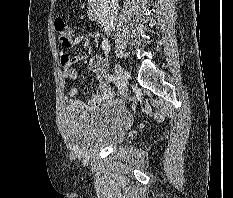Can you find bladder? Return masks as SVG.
Here are the masks:
<instances>
[{
	"label": "bladder",
	"mask_w": 233,
	"mask_h": 198,
	"mask_svg": "<svg viewBox=\"0 0 233 198\" xmlns=\"http://www.w3.org/2000/svg\"><path fill=\"white\" fill-rule=\"evenodd\" d=\"M131 114L122 103H108L90 112L68 110L62 128L67 143L85 154L98 148H115L124 140Z\"/></svg>",
	"instance_id": "31cf9c89"
}]
</instances>
